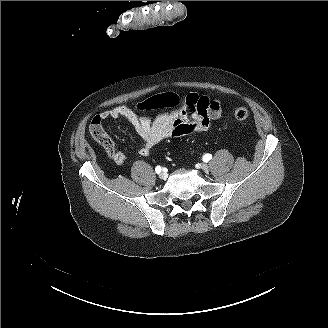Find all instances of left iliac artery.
Instances as JSON below:
<instances>
[{"instance_id": "obj_1", "label": "left iliac artery", "mask_w": 328, "mask_h": 328, "mask_svg": "<svg viewBox=\"0 0 328 328\" xmlns=\"http://www.w3.org/2000/svg\"><path fill=\"white\" fill-rule=\"evenodd\" d=\"M212 159V155L211 154H205L204 156H203V160L204 161H209V160H211Z\"/></svg>"}]
</instances>
